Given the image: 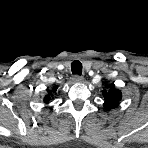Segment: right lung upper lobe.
Wrapping results in <instances>:
<instances>
[{
	"mask_svg": "<svg viewBox=\"0 0 148 148\" xmlns=\"http://www.w3.org/2000/svg\"><path fill=\"white\" fill-rule=\"evenodd\" d=\"M56 90H57V86H55V87L53 88V91L50 90V91L48 92V95H46L45 98H44V102H45V103H48L49 101H51V94H52V92H55Z\"/></svg>",
	"mask_w": 148,
	"mask_h": 148,
	"instance_id": "obj_1",
	"label": "right lung upper lobe"
}]
</instances>
